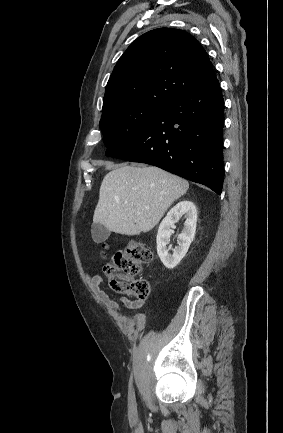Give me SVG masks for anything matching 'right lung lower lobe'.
<instances>
[{"mask_svg": "<svg viewBox=\"0 0 283 433\" xmlns=\"http://www.w3.org/2000/svg\"><path fill=\"white\" fill-rule=\"evenodd\" d=\"M224 101L219 81L164 106L115 158L151 164L221 194Z\"/></svg>", "mask_w": 283, "mask_h": 433, "instance_id": "obj_1", "label": "right lung lower lobe"}]
</instances>
